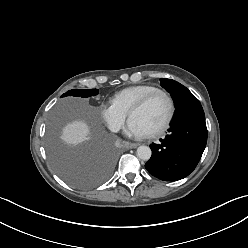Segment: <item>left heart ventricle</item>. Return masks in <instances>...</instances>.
Listing matches in <instances>:
<instances>
[{
	"label": "left heart ventricle",
	"mask_w": 248,
	"mask_h": 248,
	"mask_svg": "<svg viewBox=\"0 0 248 248\" xmlns=\"http://www.w3.org/2000/svg\"><path fill=\"white\" fill-rule=\"evenodd\" d=\"M168 113V104L163 96L154 97L144 108L134 112L131 120L136 121L146 133L158 128Z\"/></svg>",
	"instance_id": "1"
}]
</instances>
